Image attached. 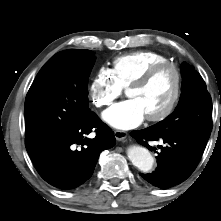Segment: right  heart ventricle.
Returning a JSON list of instances; mask_svg holds the SVG:
<instances>
[{"label": "right heart ventricle", "mask_w": 221, "mask_h": 221, "mask_svg": "<svg viewBox=\"0 0 221 221\" xmlns=\"http://www.w3.org/2000/svg\"><path fill=\"white\" fill-rule=\"evenodd\" d=\"M165 61H168V58L161 53L136 51L114 58L109 71L123 89L140 77L150 66Z\"/></svg>", "instance_id": "e07e8e85"}]
</instances>
